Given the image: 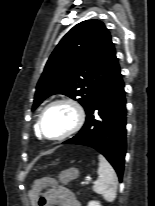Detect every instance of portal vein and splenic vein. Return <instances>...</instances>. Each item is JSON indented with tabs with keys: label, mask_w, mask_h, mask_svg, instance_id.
I'll use <instances>...</instances> for the list:
<instances>
[{
	"label": "portal vein and splenic vein",
	"mask_w": 155,
	"mask_h": 206,
	"mask_svg": "<svg viewBox=\"0 0 155 206\" xmlns=\"http://www.w3.org/2000/svg\"><path fill=\"white\" fill-rule=\"evenodd\" d=\"M81 184H83V185H88L89 182H81Z\"/></svg>",
	"instance_id": "obj_1"
}]
</instances>
